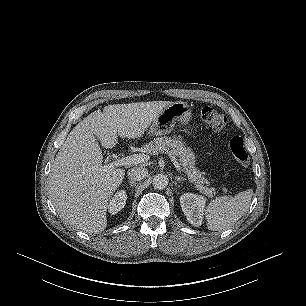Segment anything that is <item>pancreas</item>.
<instances>
[{"mask_svg":"<svg viewBox=\"0 0 306 306\" xmlns=\"http://www.w3.org/2000/svg\"><path fill=\"white\" fill-rule=\"evenodd\" d=\"M147 154H158L159 152H170L179 160L182 171L188 176L191 183L202 194L212 198L216 189L210 187V182L202 175V172L195 166V155L190 148H186L182 141L176 138L158 137L143 147Z\"/></svg>","mask_w":306,"mask_h":306,"instance_id":"pancreas-1","label":"pancreas"}]
</instances>
